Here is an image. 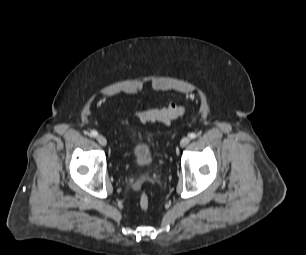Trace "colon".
Masks as SVG:
<instances>
[{
    "label": "colon",
    "instance_id": "colon-1",
    "mask_svg": "<svg viewBox=\"0 0 306 255\" xmlns=\"http://www.w3.org/2000/svg\"><path fill=\"white\" fill-rule=\"evenodd\" d=\"M184 113V106L172 103L164 108H151L147 110L137 111L135 113V116L143 122H166L174 118L180 117ZM139 205L142 210H148L150 206V198L146 192L141 193L139 197Z\"/></svg>",
    "mask_w": 306,
    "mask_h": 255
}]
</instances>
